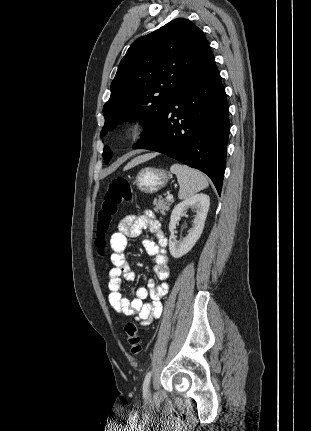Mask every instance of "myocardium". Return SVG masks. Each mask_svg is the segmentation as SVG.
Segmentation results:
<instances>
[{"mask_svg":"<svg viewBox=\"0 0 311 431\" xmlns=\"http://www.w3.org/2000/svg\"><path fill=\"white\" fill-rule=\"evenodd\" d=\"M154 131V123L142 115H134L124 119L118 128L121 138L129 143L147 139Z\"/></svg>","mask_w":311,"mask_h":431,"instance_id":"myocardium-1","label":"myocardium"}]
</instances>
